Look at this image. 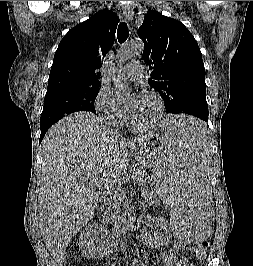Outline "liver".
<instances>
[{"label":"liver","instance_id":"obj_1","mask_svg":"<svg viewBox=\"0 0 253 266\" xmlns=\"http://www.w3.org/2000/svg\"><path fill=\"white\" fill-rule=\"evenodd\" d=\"M147 139L126 142L86 112L64 117L48 131L42 141L39 228L56 262H63L71 238L94 215L99 195L90 190L91 181L120 182L128 149L134 151Z\"/></svg>","mask_w":253,"mask_h":266}]
</instances>
